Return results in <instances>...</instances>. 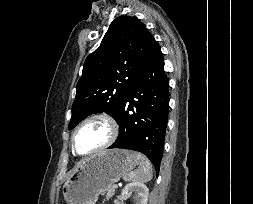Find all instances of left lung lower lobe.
I'll return each mask as SVG.
<instances>
[{
    "label": "left lung lower lobe",
    "mask_w": 253,
    "mask_h": 204,
    "mask_svg": "<svg viewBox=\"0 0 253 204\" xmlns=\"http://www.w3.org/2000/svg\"><path fill=\"white\" fill-rule=\"evenodd\" d=\"M169 109V80L158 44L125 100L119 118V136L109 148L145 154L159 172ZM132 111L133 113H129Z\"/></svg>",
    "instance_id": "left-lung-lower-lobe-1"
}]
</instances>
